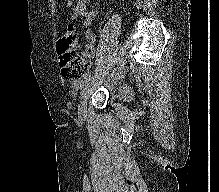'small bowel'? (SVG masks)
I'll list each match as a JSON object with an SVG mask.
<instances>
[{
    "instance_id": "1",
    "label": "small bowel",
    "mask_w": 219,
    "mask_h": 192,
    "mask_svg": "<svg viewBox=\"0 0 219 192\" xmlns=\"http://www.w3.org/2000/svg\"><path fill=\"white\" fill-rule=\"evenodd\" d=\"M89 1L90 0H78L75 5L74 11L72 13L74 17L83 18L82 26L84 28L90 27L92 22L95 20V18L98 15V10L88 9ZM85 37H86L87 43L84 47L82 55L86 58L87 65H89L90 61L94 58V55H95L94 45L96 44L97 39L92 29H88L86 31Z\"/></svg>"
}]
</instances>
